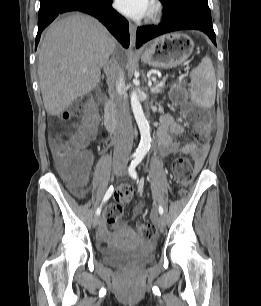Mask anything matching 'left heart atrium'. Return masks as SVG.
I'll list each match as a JSON object with an SVG mask.
<instances>
[{
    "label": "left heart atrium",
    "instance_id": "obj_1",
    "mask_svg": "<svg viewBox=\"0 0 261 306\" xmlns=\"http://www.w3.org/2000/svg\"><path fill=\"white\" fill-rule=\"evenodd\" d=\"M116 8L131 18H141L151 9V0H115Z\"/></svg>",
    "mask_w": 261,
    "mask_h": 306
}]
</instances>
